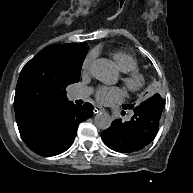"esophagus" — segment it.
Returning <instances> with one entry per match:
<instances>
[{"instance_id":"34e87169","label":"esophagus","mask_w":193,"mask_h":193,"mask_svg":"<svg viewBox=\"0 0 193 193\" xmlns=\"http://www.w3.org/2000/svg\"><path fill=\"white\" fill-rule=\"evenodd\" d=\"M99 111H100V108H99V107H96V108H94V110H93V112H94L95 114L99 113Z\"/></svg>"}]
</instances>
